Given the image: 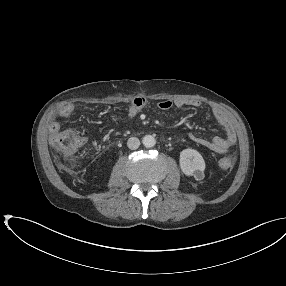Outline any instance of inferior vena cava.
Here are the masks:
<instances>
[{"label":"inferior vena cava","instance_id":"602c4592","mask_svg":"<svg viewBox=\"0 0 286 286\" xmlns=\"http://www.w3.org/2000/svg\"><path fill=\"white\" fill-rule=\"evenodd\" d=\"M127 146L131 150H136L140 146V140L136 137H131L127 141Z\"/></svg>","mask_w":286,"mask_h":286}]
</instances>
